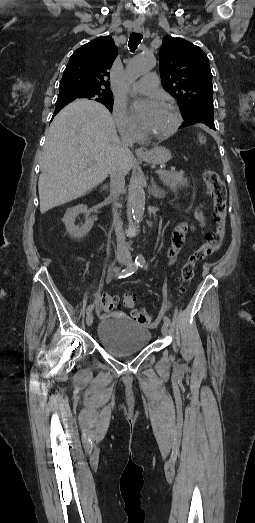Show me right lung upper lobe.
<instances>
[{
    "label": "right lung upper lobe",
    "mask_w": 255,
    "mask_h": 523,
    "mask_svg": "<svg viewBox=\"0 0 255 523\" xmlns=\"http://www.w3.org/2000/svg\"><path fill=\"white\" fill-rule=\"evenodd\" d=\"M118 55L111 36H100L77 49L63 72L59 91L80 90L112 94L109 70ZM68 103L56 102L53 117ZM112 111L113 103L104 104Z\"/></svg>",
    "instance_id": "cb5924a9"
}]
</instances>
